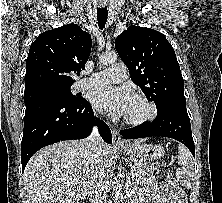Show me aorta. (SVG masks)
<instances>
[{"label":"aorta","mask_w":222,"mask_h":203,"mask_svg":"<svg viewBox=\"0 0 222 203\" xmlns=\"http://www.w3.org/2000/svg\"><path fill=\"white\" fill-rule=\"evenodd\" d=\"M117 60L115 52L104 53L100 56V62L104 65L113 64ZM113 201L114 203H121L123 200V183L116 180L113 185Z\"/></svg>","instance_id":"1"}]
</instances>
